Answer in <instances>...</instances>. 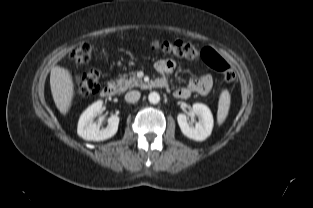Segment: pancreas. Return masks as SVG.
<instances>
[{
    "label": "pancreas",
    "mask_w": 313,
    "mask_h": 208,
    "mask_svg": "<svg viewBox=\"0 0 313 208\" xmlns=\"http://www.w3.org/2000/svg\"><path fill=\"white\" fill-rule=\"evenodd\" d=\"M142 85V81L133 74L129 79L127 75H123L120 79L117 80V86L119 87L120 92H124L128 88L132 87H140Z\"/></svg>",
    "instance_id": "obj_1"
}]
</instances>
